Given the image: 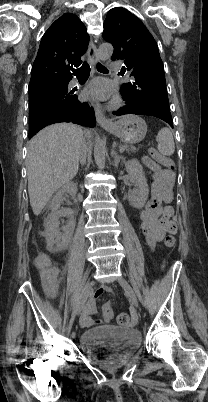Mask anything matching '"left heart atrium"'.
I'll return each instance as SVG.
<instances>
[{
  "mask_svg": "<svg viewBox=\"0 0 208 402\" xmlns=\"http://www.w3.org/2000/svg\"><path fill=\"white\" fill-rule=\"evenodd\" d=\"M114 91L112 84L105 78H95L83 89L82 98L87 101L104 100Z\"/></svg>",
  "mask_w": 208,
  "mask_h": 402,
  "instance_id": "39dd6f15",
  "label": "left heart atrium"
}]
</instances>
